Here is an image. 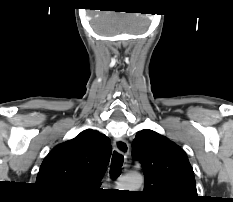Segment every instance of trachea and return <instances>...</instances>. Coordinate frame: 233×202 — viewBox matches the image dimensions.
I'll return each mask as SVG.
<instances>
[{
	"label": "trachea",
	"instance_id": "obj_1",
	"mask_svg": "<svg viewBox=\"0 0 233 202\" xmlns=\"http://www.w3.org/2000/svg\"><path fill=\"white\" fill-rule=\"evenodd\" d=\"M123 162H124V157L121 154L114 152L110 167V177L112 179H116L117 177L120 176Z\"/></svg>",
	"mask_w": 233,
	"mask_h": 202
}]
</instances>
